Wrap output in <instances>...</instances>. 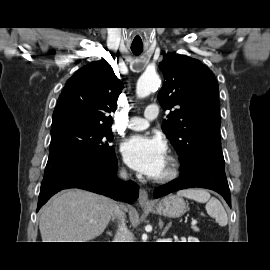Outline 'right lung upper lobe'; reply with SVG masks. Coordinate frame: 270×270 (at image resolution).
I'll return each mask as SVG.
<instances>
[{"label": "right lung upper lobe", "instance_id": "right-lung-upper-lobe-1", "mask_svg": "<svg viewBox=\"0 0 270 270\" xmlns=\"http://www.w3.org/2000/svg\"><path fill=\"white\" fill-rule=\"evenodd\" d=\"M122 83L102 59L79 69L66 83L53 112L51 127L67 123L111 127Z\"/></svg>", "mask_w": 270, "mask_h": 270}]
</instances>
